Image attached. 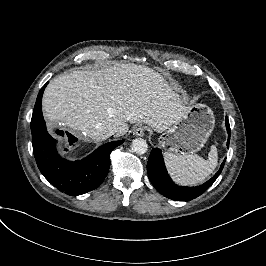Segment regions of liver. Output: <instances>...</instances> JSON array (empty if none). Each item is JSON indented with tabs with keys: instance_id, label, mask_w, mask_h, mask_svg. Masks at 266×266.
I'll return each instance as SVG.
<instances>
[{
	"instance_id": "6515ba94",
	"label": "liver",
	"mask_w": 266,
	"mask_h": 266,
	"mask_svg": "<svg viewBox=\"0 0 266 266\" xmlns=\"http://www.w3.org/2000/svg\"><path fill=\"white\" fill-rule=\"evenodd\" d=\"M177 94L148 67L115 64L52 80L43 95V112L49 123L99 142L103 129L125 133L124 122H142L164 133L189 112Z\"/></svg>"
}]
</instances>
